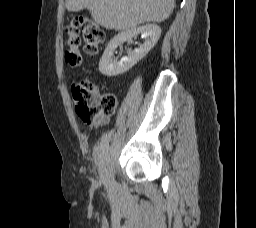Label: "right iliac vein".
<instances>
[{
    "instance_id": "obj_1",
    "label": "right iliac vein",
    "mask_w": 256,
    "mask_h": 228,
    "mask_svg": "<svg viewBox=\"0 0 256 228\" xmlns=\"http://www.w3.org/2000/svg\"><path fill=\"white\" fill-rule=\"evenodd\" d=\"M113 140H115V137H112V140H110V143H106L105 147L106 150L104 151V153L102 154V178L104 180L105 183L109 184V185H113L114 184V178L112 173L106 168L107 166V160L105 158L109 157V152L111 151V147L113 143Z\"/></svg>"
}]
</instances>
